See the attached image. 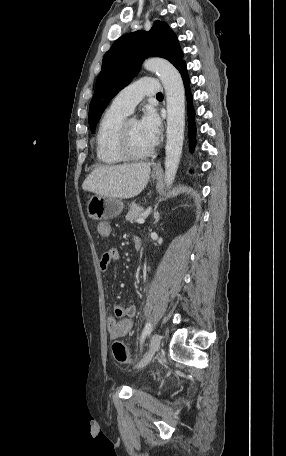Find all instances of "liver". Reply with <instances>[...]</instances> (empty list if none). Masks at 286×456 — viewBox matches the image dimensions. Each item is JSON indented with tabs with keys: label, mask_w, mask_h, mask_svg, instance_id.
I'll return each instance as SVG.
<instances>
[{
	"label": "liver",
	"mask_w": 286,
	"mask_h": 456,
	"mask_svg": "<svg viewBox=\"0 0 286 456\" xmlns=\"http://www.w3.org/2000/svg\"><path fill=\"white\" fill-rule=\"evenodd\" d=\"M150 173L149 163L99 166L87 176L82 188L97 195L128 199L144 190Z\"/></svg>",
	"instance_id": "liver-1"
}]
</instances>
